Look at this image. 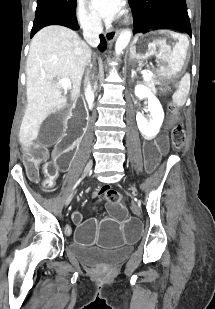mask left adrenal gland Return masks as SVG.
Instances as JSON below:
<instances>
[{
	"mask_svg": "<svg viewBox=\"0 0 215 309\" xmlns=\"http://www.w3.org/2000/svg\"><path fill=\"white\" fill-rule=\"evenodd\" d=\"M137 72L134 70V68H131V78L134 80V76H136Z\"/></svg>",
	"mask_w": 215,
	"mask_h": 309,
	"instance_id": "a2214340",
	"label": "left adrenal gland"
}]
</instances>
